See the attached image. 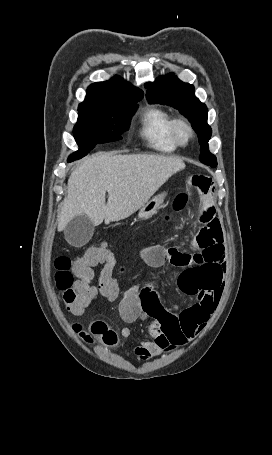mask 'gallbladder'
<instances>
[{"label":"gallbladder","mask_w":272,"mask_h":455,"mask_svg":"<svg viewBox=\"0 0 272 455\" xmlns=\"http://www.w3.org/2000/svg\"><path fill=\"white\" fill-rule=\"evenodd\" d=\"M94 233V224L86 215L75 216L64 228L66 241L76 247L88 243Z\"/></svg>","instance_id":"bac80fb5"}]
</instances>
